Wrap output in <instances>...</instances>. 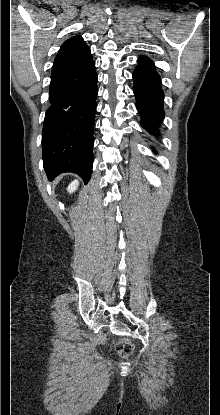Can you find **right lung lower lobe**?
Returning a JSON list of instances; mask_svg holds the SVG:
<instances>
[{"label": "right lung lower lobe", "instance_id": "98d812e1", "mask_svg": "<svg viewBox=\"0 0 220 415\" xmlns=\"http://www.w3.org/2000/svg\"><path fill=\"white\" fill-rule=\"evenodd\" d=\"M97 93L93 59L51 77L50 107L42 135L43 165L50 179L63 172H73L85 183L90 180Z\"/></svg>", "mask_w": 220, "mask_h": 415}]
</instances>
